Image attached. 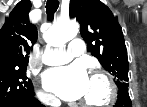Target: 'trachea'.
Here are the masks:
<instances>
[{
  "label": "trachea",
  "mask_w": 147,
  "mask_h": 107,
  "mask_svg": "<svg viewBox=\"0 0 147 107\" xmlns=\"http://www.w3.org/2000/svg\"><path fill=\"white\" fill-rule=\"evenodd\" d=\"M59 7L58 0H48L46 3V13L48 18H52Z\"/></svg>",
  "instance_id": "trachea-1"
}]
</instances>
